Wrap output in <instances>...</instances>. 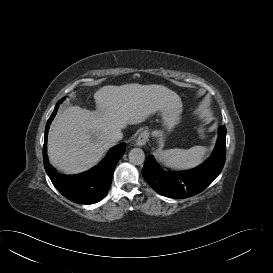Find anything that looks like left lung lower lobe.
Here are the masks:
<instances>
[{"instance_id": "1", "label": "left lung lower lobe", "mask_w": 273, "mask_h": 273, "mask_svg": "<svg viewBox=\"0 0 273 273\" xmlns=\"http://www.w3.org/2000/svg\"><path fill=\"white\" fill-rule=\"evenodd\" d=\"M213 154L200 166L187 171H165L152 155L147 156L142 175L160 195L169 198H187L207 188L220 174L226 156V129L222 126Z\"/></svg>"}]
</instances>
